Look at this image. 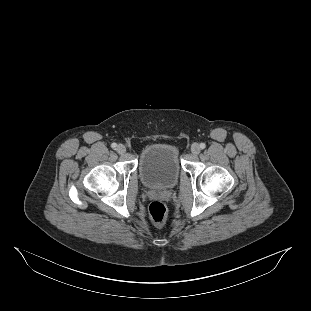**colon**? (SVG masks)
<instances>
[{
    "mask_svg": "<svg viewBox=\"0 0 311 311\" xmlns=\"http://www.w3.org/2000/svg\"><path fill=\"white\" fill-rule=\"evenodd\" d=\"M149 215L156 225H163L167 221L168 211L162 202L154 201L149 206Z\"/></svg>",
    "mask_w": 311,
    "mask_h": 311,
    "instance_id": "5ec220e1",
    "label": "colon"
}]
</instances>
